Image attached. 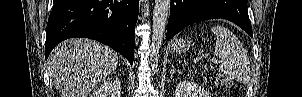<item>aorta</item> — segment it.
<instances>
[{
	"label": "aorta",
	"mask_w": 302,
	"mask_h": 97,
	"mask_svg": "<svg viewBox=\"0 0 302 97\" xmlns=\"http://www.w3.org/2000/svg\"><path fill=\"white\" fill-rule=\"evenodd\" d=\"M170 11V0H155L152 23L151 67L158 65L159 50L165 35Z\"/></svg>",
	"instance_id": "1"
}]
</instances>
